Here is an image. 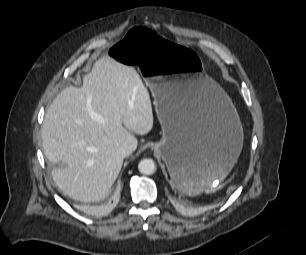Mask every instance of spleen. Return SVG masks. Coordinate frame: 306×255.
<instances>
[{
    "instance_id": "spleen-1",
    "label": "spleen",
    "mask_w": 306,
    "mask_h": 255,
    "mask_svg": "<svg viewBox=\"0 0 306 255\" xmlns=\"http://www.w3.org/2000/svg\"><path fill=\"white\" fill-rule=\"evenodd\" d=\"M216 190V188H214V187H208V188H206L205 189V193H211V192H214Z\"/></svg>"
}]
</instances>
